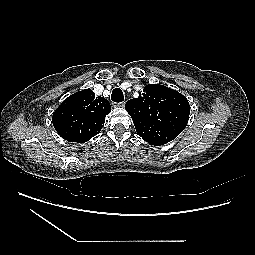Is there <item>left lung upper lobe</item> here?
I'll use <instances>...</instances> for the list:
<instances>
[{
	"label": "left lung upper lobe",
	"mask_w": 255,
	"mask_h": 255,
	"mask_svg": "<svg viewBox=\"0 0 255 255\" xmlns=\"http://www.w3.org/2000/svg\"><path fill=\"white\" fill-rule=\"evenodd\" d=\"M125 109L136 131L150 145H163L176 138L186 127L190 105L176 90L148 84L138 98L128 100Z\"/></svg>",
	"instance_id": "obj_1"
}]
</instances>
